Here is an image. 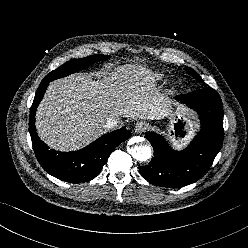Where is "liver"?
Returning <instances> with one entry per match:
<instances>
[{"instance_id":"6515ba94","label":"liver","mask_w":248,"mask_h":248,"mask_svg":"<svg viewBox=\"0 0 248 248\" xmlns=\"http://www.w3.org/2000/svg\"><path fill=\"white\" fill-rule=\"evenodd\" d=\"M167 100L151 73L127 64L94 80L82 73L52 81L36 111L37 133L52 149L72 151L102 134L109 118L160 119Z\"/></svg>"}]
</instances>
